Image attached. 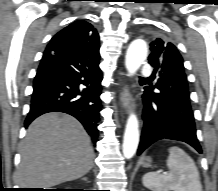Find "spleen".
Masks as SVG:
<instances>
[{
  "instance_id": "3e777b00",
  "label": "spleen",
  "mask_w": 218,
  "mask_h": 191,
  "mask_svg": "<svg viewBox=\"0 0 218 191\" xmlns=\"http://www.w3.org/2000/svg\"><path fill=\"white\" fill-rule=\"evenodd\" d=\"M166 165L169 172H149L143 185L152 191H202L200 176L193 159L179 147L168 149Z\"/></svg>"
}]
</instances>
